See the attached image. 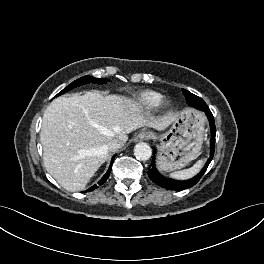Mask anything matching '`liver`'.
Wrapping results in <instances>:
<instances>
[{"mask_svg": "<svg viewBox=\"0 0 264 264\" xmlns=\"http://www.w3.org/2000/svg\"><path fill=\"white\" fill-rule=\"evenodd\" d=\"M175 119V114L145 117L136 101L117 95L87 92L58 97L43 115L44 166L66 190H83L107 160L110 141L124 145L128 133L144 126L164 130Z\"/></svg>", "mask_w": 264, "mask_h": 264, "instance_id": "6515ba94", "label": "liver"}]
</instances>
